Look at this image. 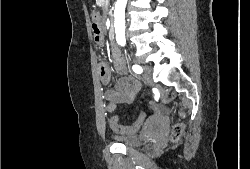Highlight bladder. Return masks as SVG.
Listing matches in <instances>:
<instances>
[{
	"label": "bladder",
	"mask_w": 250,
	"mask_h": 169,
	"mask_svg": "<svg viewBox=\"0 0 250 169\" xmlns=\"http://www.w3.org/2000/svg\"><path fill=\"white\" fill-rule=\"evenodd\" d=\"M112 140L127 147L139 148L142 146L140 145L139 134H115L112 136Z\"/></svg>",
	"instance_id": "31cf9c89"
}]
</instances>
